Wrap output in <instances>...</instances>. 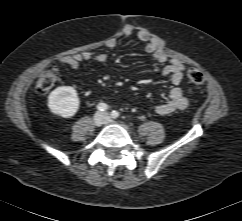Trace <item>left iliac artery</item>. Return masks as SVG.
<instances>
[{"instance_id":"obj_1","label":"left iliac artery","mask_w":242,"mask_h":221,"mask_svg":"<svg viewBox=\"0 0 242 221\" xmlns=\"http://www.w3.org/2000/svg\"><path fill=\"white\" fill-rule=\"evenodd\" d=\"M111 117H112V118H118V117H119V112H118V111H115V110L112 111V112H111Z\"/></svg>"}]
</instances>
